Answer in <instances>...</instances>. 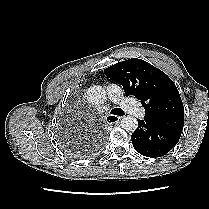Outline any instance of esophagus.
Returning <instances> with one entry per match:
<instances>
[{"label":"esophagus","instance_id":"34e87169","mask_svg":"<svg viewBox=\"0 0 209 209\" xmlns=\"http://www.w3.org/2000/svg\"><path fill=\"white\" fill-rule=\"evenodd\" d=\"M121 120L120 116H115V115H108L106 118L107 123H118Z\"/></svg>","mask_w":209,"mask_h":209}]
</instances>
